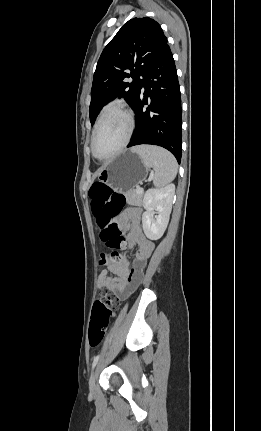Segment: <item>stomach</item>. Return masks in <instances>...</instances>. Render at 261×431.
<instances>
[{
    "label": "stomach",
    "mask_w": 261,
    "mask_h": 431,
    "mask_svg": "<svg viewBox=\"0 0 261 431\" xmlns=\"http://www.w3.org/2000/svg\"><path fill=\"white\" fill-rule=\"evenodd\" d=\"M148 167L132 149L126 150L109 160L98 173L100 182L114 190H132L147 177Z\"/></svg>",
    "instance_id": "stomach-1"
}]
</instances>
